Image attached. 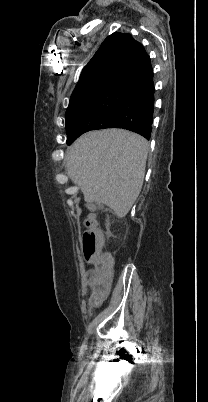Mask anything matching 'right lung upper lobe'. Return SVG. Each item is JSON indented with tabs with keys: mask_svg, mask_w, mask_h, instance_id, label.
I'll return each mask as SVG.
<instances>
[{
	"mask_svg": "<svg viewBox=\"0 0 208 402\" xmlns=\"http://www.w3.org/2000/svg\"><path fill=\"white\" fill-rule=\"evenodd\" d=\"M142 47L129 34L115 32L108 36L83 68L71 97L103 83L111 84Z\"/></svg>",
	"mask_w": 208,
	"mask_h": 402,
	"instance_id": "cb5924a9",
	"label": "right lung upper lobe"
}]
</instances>
